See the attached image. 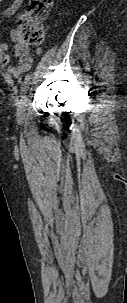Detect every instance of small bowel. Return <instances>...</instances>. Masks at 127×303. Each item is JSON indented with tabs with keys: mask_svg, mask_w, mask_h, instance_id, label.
Returning a JSON list of instances; mask_svg holds the SVG:
<instances>
[{
	"mask_svg": "<svg viewBox=\"0 0 127 303\" xmlns=\"http://www.w3.org/2000/svg\"><path fill=\"white\" fill-rule=\"evenodd\" d=\"M1 1V0H0ZM24 0H13V2L1 12L0 27L3 26L2 18L13 16L23 5ZM14 36V33H13ZM9 44L6 41H0V62L6 66L7 74L11 77L18 78L23 73L29 71L33 64V58L29 54V48L22 44H16L11 53ZM41 49H38V53ZM17 60L16 64L10 65L12 59Z\"/></svg>",
	"mask_w": 127,
	"mask_h": 303,
	"instance_id": "c3829d8e",
	"label": "small bowel"
}]
</instances>
